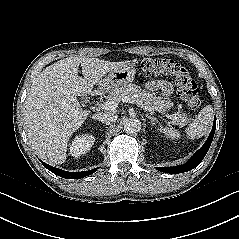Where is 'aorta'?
I'll list each match as a JSON object with an SVG mask.
<instances>
[{
    "instance_id": "1",
    "label": "aorta",
    "mask_w": 239,
    "mask_h": 239,
    "mask_svg": "<svg viewBox=\"0 0 239 239\" xmlns=\"http://www.w3.org/2000/svg\"><path fill=\"white\" fill-rule=\"evenodd\" d=\"M126 133L135 134L141 130V122L136 118H129L124 123Z\"/></svg>"
}]
</instances>
